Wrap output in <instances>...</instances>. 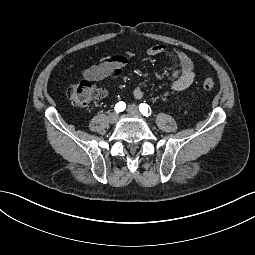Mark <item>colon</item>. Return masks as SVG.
<instances>
[{
    "mask_svg": "<svg viewBox=\"0 0 255 255\" xmlns=\"http://www.w3.org/2000/svg\"><path fill=\"white\" fill-rule=\"evenodd\" d=\"M205 90H212L215 87L213 79H205L202 83ZM68 99L78 107H86L97 95L96 89L89 82H81L70 85L66 91Z\"/></svg>",
    "mask_w": 255,
    "mask_h": 255,
    "instance_id": "5ec220e1",
    "label": "colon"
}]
</instances>
